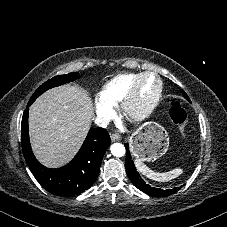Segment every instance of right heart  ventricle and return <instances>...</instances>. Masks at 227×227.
<instances>
[{
    "mask_svg": "<svg viewBox=\"0 0 227 227\" xmlns=\"http://www.w3.org/2000/svg\"><path fill=\"white\" fill-rule=\"evenodd\" d=\"M141 73H122L114 76L103 84L98 91L100 102L114 106L126 97L133 82Z\"/></svg>",
    "mask_w": 227,
    "mask_h": 227,
    "instance_id": "e07e8e85",
    "label": "right heart ventricle"
}]
</instances>
